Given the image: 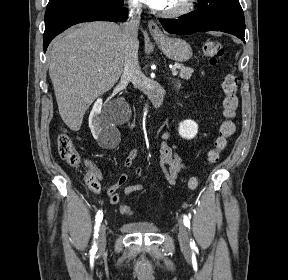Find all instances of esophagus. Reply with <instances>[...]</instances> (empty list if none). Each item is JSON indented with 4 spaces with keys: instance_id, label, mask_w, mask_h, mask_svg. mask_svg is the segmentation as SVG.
Listing matches in <instances>:
<instances>
[{
    "instance_id": "obj_1",
    "label": "esophagus",
    "mask_w": 288,
    "mask_h": 280,
    "mask_svg": "<svg viewBox=\"0 0 288 280\" xmlns=\"http://www.w3.org/2000/svg\"><path fill=\"white\" fill-rule=\"evenodd\" d=\"M148 28L152 37L159 38L163 36V32L161 31L159 26L156 24V22H154L153 20H150L148 22Z\"/></svg>"
}]
</instances>
